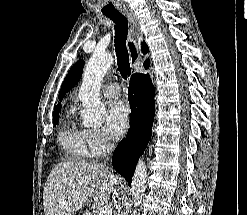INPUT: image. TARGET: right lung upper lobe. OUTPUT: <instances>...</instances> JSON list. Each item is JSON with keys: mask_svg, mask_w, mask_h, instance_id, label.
Instances as JSON below:
<instances>
[{"mask_svg": "<svg viewBox=\"0 0 247 215\" xmlns=\"http://www.w3.org/2000/svg\"><path fill=\"white\" fill-rule=\"evenodd\" d=\"M141 49H142V52L144 54L148 51V46L145 44V42L142 43V48ZM148 62H149V60H146L144 62V64H146ZM60 109H61V104H58L57 106L54 107V113L53 114L59 113Z\"/></svg>", "mask_w": 247, "mask_h": 215, "instance_id": "obj_1", "label": "right lung upper lobe"}]
</instances>
